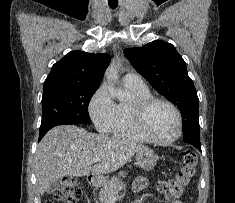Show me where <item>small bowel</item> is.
Segmentation results:
<instances>
[{
    "label": "small bowel",
    "mask_w": 235,
    "mask_h": 203,
    "mask_svg": "<svg viewBox=\"0 0 235 203\" xmlns=\"http://www.w3.org/2000/svg\"><path fill=\"white\" fill-rule=\"evenodd\" d=\"M149 182L148 179L145 177H138L133 184V189L136 193H139L141 191H143L144 189L147 188ZM171 203H182L180 200L178 199H174L171 201Z\"/></svg>",
    "instance_id": "c3829d8e"
}]
</instances>
